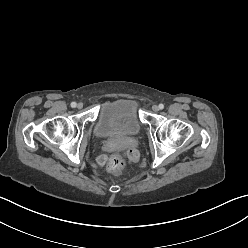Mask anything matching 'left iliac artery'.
I'll return each mask as SVG.
<instances>
[{"instance_id": "1", "label": "left iliac artery", "mask_w": 248, "mask_h": 248, "mask_svg": "<svg viewBox=\"0 0 248 248\" xmlns=\"http://www.w3.org/2000/svg\"><path fill=\"white\" fill-rule=\"evenodd\" d=\"M159 108L160 109H163L164 108V105L163 104H159Z\"/></svg>"}]
</instances>
